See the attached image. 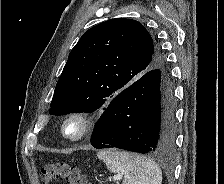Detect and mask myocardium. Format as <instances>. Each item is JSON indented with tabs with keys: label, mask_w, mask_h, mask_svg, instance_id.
I'll return each mask as SVG.
<instances>
[{
	"label": "myocardium",
	"mask_w": 224,
	"mask_h": 184,
	"mask_svg": "<svg viewBox=\"0 0 224 184\" xmlns=\"http://www.w3.org/2000/svg\"><path fill=\"white\" fill-rule=\"evenodd\" d=\"M76 124L77 132L73 135L67 132V128L70 124ZM92 116L83 111H75L68 114L62 122L61 134L63 138L71 143H77L84 140L92 130L93 127Z\"/></svg>",
	"instance_id": "obj_1"
}]
</instances>
